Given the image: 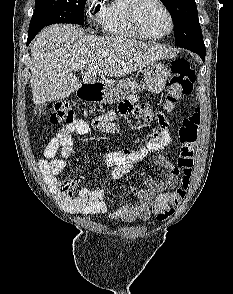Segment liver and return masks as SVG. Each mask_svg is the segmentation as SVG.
<instances>
[{
	"label": "liver",
	"instance_id": "1",
	"mask_svg": "<svg viewBox=\"0 0 233 294\" xmlns=\"http://www.w3.org/2000/svg\"><path fill=\"white\" fill-rule=\"evenodd\" d=\"M30 49V84L36 105L64 99L82 83L93 84L97 76H126L173 55L160 44L93 36L70 24L45 28L31 42ZM81 62L86 67L82 81L73 74V67Z\"/></svg>",
	"mask_w": 233,
	"mask_h": 294
}]
</instances>
